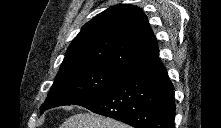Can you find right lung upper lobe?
<instances>
[{"label":"right lung upper lobe","mask_w":221,"mask_h":128,"mask_svg":"<svg viewBox=\"0 0 221 128\" xmlns=\"http://www.w3.org/2000/svg\"><path fill=\"white\" fill-rule=\"evenodd\" d=\"M159 56L142 10L119 4L84 25L67 49L60 70L97 67L126 75Z\"/></svg>","instance_id":"1"}]
</instances>
